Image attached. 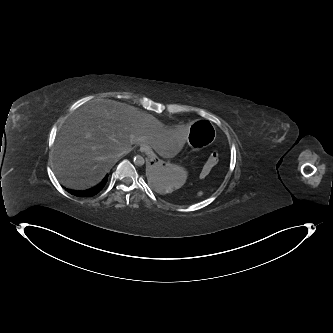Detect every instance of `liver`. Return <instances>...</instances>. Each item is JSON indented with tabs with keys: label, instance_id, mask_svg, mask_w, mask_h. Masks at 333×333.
Listing matches in <instances>:
<instances>
[{
	"label": "liver",
	"instance_id": "1",
	"mask_svg": "<svg viewBox=\"0 0 333 333\" xmlns=\"http://www.w3.org/2000/svg\"><path fill=\"white\" fill-rule=\"evenodd\" d=\"M143 143L160 156L173 158L188 145L189 136L179 129L166 131L154 116L126 103L89 101L62 126L53 168L64 186L85 190L100 183L123 152Z\"/></svg>",
	"mask_w": 333,
	"mask_h": 333
}]
</instances>
